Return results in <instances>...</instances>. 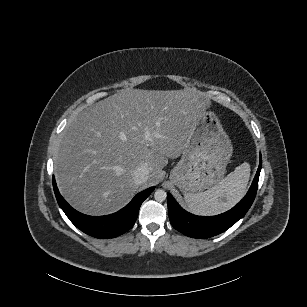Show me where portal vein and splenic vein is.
I'll use <instances>...</instances> for the list:
<instances>
[{
    "label": "portal vein and splenic vein",
    "instance_id": "portal-vein-and-splenic-vein-1",
    "mask_svg": "<svg viewBox=\"0 0 307 307\" xmlns=\"http://www.w3.org/2000/svg\"><path fill=\"white\" fill-rule=\"evenodd\" d=\"M150 136H151V133L148 130H145L144 132L145 140H150Z\"/></svg>",
    "mask_w": 307,
    "mask_h": 307
}]
</instances>
